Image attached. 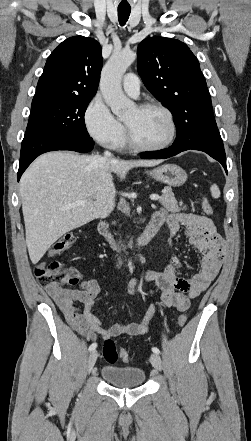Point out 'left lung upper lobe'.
Listing matches in <instances>:
<instances>
[{"mask_svg": "<svg viewBox=\"0 0 251 441\" xmlns=\"http://www.w3.org/2000/svg\"><path fill=\"white\" fill-rule=\"evenodd\" d=\"M138 72L146 88L171 111L177 129L200 115L213 116L198 59L185 43L146 38L138 46Z\"/></svg>", "mask_w": 251, "mask_h": 441, "instance_id": "5c2ea615", "label": "left lung upper lobe"}]
</instances>
